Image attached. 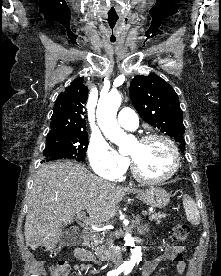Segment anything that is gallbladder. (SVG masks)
I'll return each mask as SVG.
<instances>
[{
  "label": "gallbladder",
  "instance_id": "bac80fb5",
  "mask_svg": "<svg viewBox=\"0 0 221 276\" xmlns=\"http://www.w3.org/2000/svg\"><path fill=\"white\" fill-rule=\"evenodd\" d=\"M78 234L74 231H63L59 244L63 246H71L74 245L77 241Z\"/></svg>",
  "mask_w": 221,
  "mask_h": 276
}]
</instances>
